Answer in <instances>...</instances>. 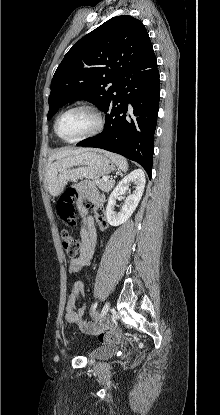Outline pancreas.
<instances>
[{"label": "pancreas", "instance_id": "pancreas-1", "mask_svg": "<svg viewBox=\"0 0 220 415\" xmlns=\"http://www.w3.org/2000/svg\"><path fill=\"white\" fill-rule=\"evenodd\" d=\"M94 184L103 192L108 193L114 186V180L104 181L103 179H95Z\"/></svg>", "mask_w": 220, "mask_h": 415}]
</instances>
